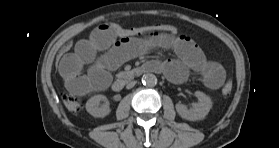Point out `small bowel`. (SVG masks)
Instances as JSON below:
<instances>
[{
	"label": "small bowel",
	"instance_id": "small-bowel-1",
	"mask_svg": "<svg viewBox=\"0 0 279 148\" xmlns=\"http://www.w3.org/2000/svg\"><path fill=\"white\" fill-rule=\"evenodd\" d=\"M158 49L173 50L178 57L151 61L173 82H182L193 73L201 76L208 88L217 89L225 80L222 66L208 60L193 38L182 31L119 38L106 24L96 27L87 38L79 40L74 50L60 59L58 71L71 93L83 95L102 91L109 85L110 71L130 59ZM85 66H89L87 71Z\"/></svg>",
	"mask_w": 279,
	"mask_h": 148
}]
</instances>
